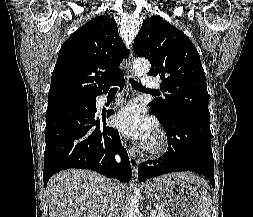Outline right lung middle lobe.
Segmentation results:
<instances>
[{
  "label": "right lung middle lobe",
  "instance_id": "right-lung-middle-lobe-1",
  "mask_svg": "<svg viewBox=\"0 0 253 217\" xmlns=\"http://www.w3.org/2000/svg\"><path fill=\"white\" fill-rule=\"evenodd\" d=\"M95 103H96L95 97H78L48 102L46 113H50L62 108L72 106H88L95 108L96 107Z\"/></svg>",
  "mask_w": 253,
  "mask_h": 217
}]
</instances>
